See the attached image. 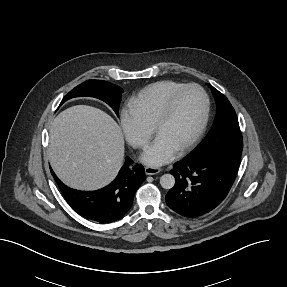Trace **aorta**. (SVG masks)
<instances>
[{
    "instance_id": "762f6f07",
    "label": "aorta",
    "mask_w": 287,
    "mask_h": 287,
    "mask_svg": "<svg viewBox=\"0 0 287 287\" xmlns=\"http://www.w3.org/2000/svg\"><path fill=\"white\" fill-rule=\"evenodd\" d=\"M160 184L164 189H171L175 185V178L172 174H164L160 177Z\"/></svg>"
}]
</instances>
